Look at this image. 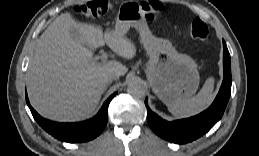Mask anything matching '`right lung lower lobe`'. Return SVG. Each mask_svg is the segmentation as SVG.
Masks as SVG:
<instances>
[{"label":"right lung lower lobe","mask_w":259,"mask_h":156,"mask_svg":"<svg viewBox=\"0 0 259 156\" xmlns=\"http://www.w3.org/2000/svg\"><path fill=\"white\" fill-rule=\"evenodd\" d=\"M117 94H112L93 118L79 123H56L42 118L30 105L27 94L26 102L37 123L55 138L70 143L89 141L104 130L108 120V105Z\"/></svg>","instance_id":"1"}]
</instances>
